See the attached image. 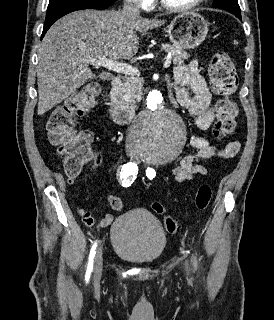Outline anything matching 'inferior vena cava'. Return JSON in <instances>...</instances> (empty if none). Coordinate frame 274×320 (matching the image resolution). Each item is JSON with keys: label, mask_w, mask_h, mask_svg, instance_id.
I'll use <instances>...</instances> for the list:
<instances>
[{"label": "inferior vena cava", "mask_w": 274, "mask_h": 320, "mask_svg": "<svg viewBox=\"0 0 274 320\" xmlns=\"http://www.w3.org/2000/svg\"><path fill=\"white\" fill-rule=\"evenodd\" d=\"M121 12L124 18H140L139 8H137V6H134V4H131V2H126Z\"/></svg>", "instance_id": "obj_1"}]
</instances>
